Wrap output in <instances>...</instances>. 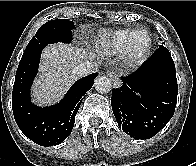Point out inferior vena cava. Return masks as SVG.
<instances>
[{"label": "inferior vena cava", "instance_id": "obj_1", "mask_svg": "<svg viewBox=\"0 0 196 166\" xmlns=\"http://www.w3.org/2000/svg\"><path fill=\"white\" fill-rule=\"evenodd\" d=\"M93 69H94V64L89 61H85L74 69V74L78 76H83L93 72Z\"/></svg>", "mask_w": 196, "mask_h": 166}]
</instances>
